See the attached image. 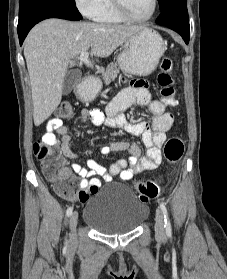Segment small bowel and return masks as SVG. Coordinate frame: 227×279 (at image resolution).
Returning a JSON list of instances; mask_svg holds the SVG:
<instances>
[{
    "instance_id": "small-bowel-1",
    "label": "small bowel",
    "mask_w": 227,
    "mask_h": 279,
    "mask_svg": "<svg viewBox=\"0 0 227 279\" xmlns=\"http://www.w3.org/2000/svg\"><path fill=\"white\" fill-rule=\"evenodd\" d=\"M148 87L145 80L132 81L108 103L106 116L98 109H83L81 111L83 122H91L97 126L106 124L109 127H120L127 133L140 136L146 148V157H141L138 148L131 146L128 142L114 141L103 145L100 148V154L109 155L113 151L129 150L130 155L127 159H119L106 168L94 158L88 157L85 159V166L73 162L70 166L62 167L59 171L62 180L73 175L78 176L81 179L80 186L87 197L88 192L93 191L91 185L94 183L99 187L101 179L110 182L118 175L123 180H129L143 171H152L158 168L162 160L160 148L166 140V132L171 128L174 117L171 113H164L165 103L152 99ZM135 104L148 107L153 117L152 125L144 120L131 122L122 114ZM54 131L59 133L61 138L53 145L60 149L65 157L78 160L80 156L70 148L71 138L62 121L50 120L47 124L48 133L45 138L54 135ZM85 200L86 198L81 199L80 202L84 203Z\"/></svg>"
}]
</instances>
